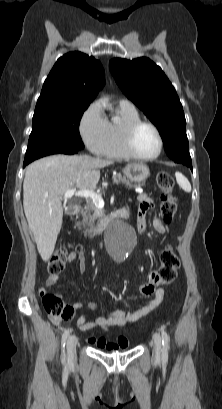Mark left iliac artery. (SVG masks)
Returning <instances> with one entry per match:
<instances>
[{
	"label": "left iliac artery",
	"instance_id": "left-iliac-artery-1",
	"mask_svg": "<svg viewBox=\"0 0 222 409\" xmlns=\"http://www.w3.org/2000/svg\"><path fill=\"white\" fill-rule=\"evenodd\" d=\"M161 334H162V357L163 359L167 360L168 359V350H169V336L167 332L164 329H161Z\"/></svg>",
	"mask_w": 222,
	"mask_h": 409
}]
</instances>
